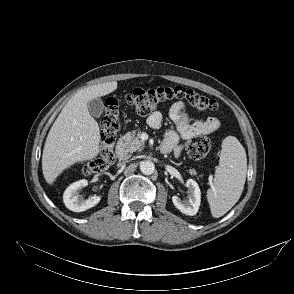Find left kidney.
<instances>
[{"label": "left kidney", "instance_id": "5707ae66", "mask_svg": "<svg viewBox=\"0 0 294 294\" xmlns=\"http://www.w3.org/2000/svg\"><path fill=\"white\" fill-rule=\"evenodd\" d=\"M186 187L189 190L188 200L182 201L179 197L173 196L172 202L179 211L193 216L198 212L201 202V192L197 182L193 179L187 180Z\"/></svg>", "mask_w": 294, "mask_h": 294}]
</instances>
